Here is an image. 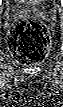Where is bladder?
I'll list each match as a JSON object with an SVG mask.
<instances>
[{"mask_svg":"<svg viewBox=\"0 0 63 107\" xmlns=\"http://www.w3.org/2000/svg\"><path fill=\"white\" fill-rule=\"evenodd\" d=\"M18 4H39L42 0H14Z\"/></svg>","mask_w":63,"mask_h":107,"instance_id":"bladder-1","label":"bladder"}]
</instances>
